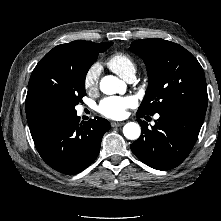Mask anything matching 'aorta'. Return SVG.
I'll list each match as a JSON object with an SVG mask.
<instances>
[{
    "instance_id": "1",
    "label": "aorta",
    "mask_w": 221,
    "mask_h": 221,
    "mask_svg": "<svg viewBox=\"0 0 221 221\" xmlns=\"http://www.w3.org/2000/svg\"><path fill=\"white\" fill-rule=\"evenodd\" d=\"M100 90L107 95L116 93L123 94L126 90L124 82L113 75H107L100 81ZM123 134L129 140H136L140 137L141 127L135 122H129L123 127Z\"/></svg>"
}]
</instances>
